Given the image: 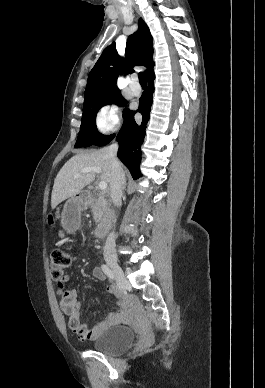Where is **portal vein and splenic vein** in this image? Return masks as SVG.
<instances>
[{
    "instance_id": "portal-vein-and-splenic-vein-1",
    "label": "portal vein and splenic vein",
    "mask_w": 265,
    "mask_h": 388,
    "mask_svg": "<svg viewBox=\"0 0 265 388\" xmlns=\"http://www.w3.org/2000/svg\"><path fill=\"white\" fill-rule=\"evenodd\" d=\"M88 172H95V174H101L102 170L100 166H93V168H82V170H80V172H78V174H76L74 178H78L80 174H88ZM99 188L100 190H107L108 188L107 182H100Z\"/></svg>"
}]
</instances>
